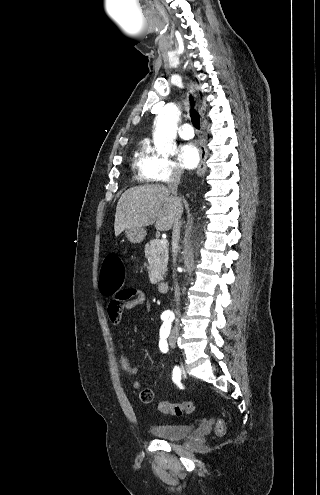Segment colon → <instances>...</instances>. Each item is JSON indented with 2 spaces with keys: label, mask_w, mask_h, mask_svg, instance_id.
I'll return each instance as SVG.
<instances>
[{
  "label": "colon",
  "mask_w": 320,
  "mask_h": 495,
  "mask_svg": "<svg viewBox=\"0 0 320 495\" xmlns=\"http://www.w3.org/2000/svg\"><path fill=\"white\" fill-rule=\"evenodd\" d=\"M125 278L124 265L121 258L115 254H108L102 262L99 273V288L104 294H116L119 302H123L128 294L120 290ZM139 398L143 403L149 404L154 400V393L151 389H142ZM158 410L161 413L175 416L191 414L195 410V404L190 401L173 403L161 401L158 403ZM226 432V425L223 420L216 423V433L223 436Z\"/></svg>",
  "instance_id": "colon-1"
}]
</instances>
